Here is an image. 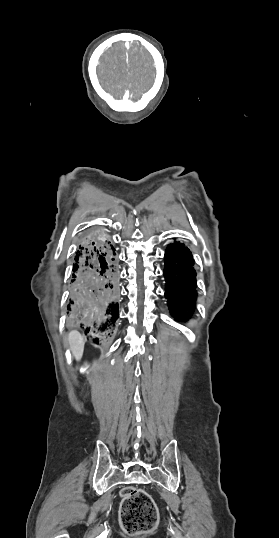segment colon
<instances>
[{"label":"colon","mask_w":279,"mask_h":538,"mask_svg":"<svg viewBox=\"0 0 279 538\" xmlns=\"http://www.w3.org/2000/svg\"><path fill=\"white\" fill-rule=\"evenodd\" d=\"M120 522L130 535L151 531L158 523V510L152 497L142 489L126 487L122 490Z\"/></svg>","instance_id":"1"}]
</instances>
